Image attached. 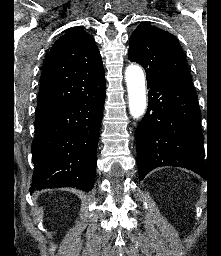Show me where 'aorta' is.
Returning a JSON list of instances; mask_svg holds the SVG:
<instances>
[{"label": "aorta", "mask_w": 221, "mask_h": 256, "mask_svg": "<svg viewBox=\"0 0 221 256\" xmlns=\"http://www.w3.org/2000/svg\"><path fill=\"white\" fill-rule=\"evenodd\" d=\"M129 110L134 119L140 118L146 109L145 77L140 66L129 65L125 71Z\"/></svg>", "instance_id": "1"}]
</instances>
